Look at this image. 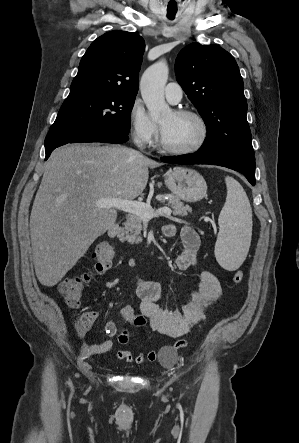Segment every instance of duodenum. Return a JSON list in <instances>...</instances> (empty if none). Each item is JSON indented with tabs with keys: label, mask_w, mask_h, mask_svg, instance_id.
I'll use <instances>...</instances> for the list:
<instances>
[{
	"label": "duodenum",
	"mask_w": 299,
	"mask_h": 443,
	"mask_svg": "<svg viewBox=\"0 0 299 443\" xmlns=\"http://www.w3.org/2000/svg\"><path fill=\"white\" fill-rule=\"evenodd\" d=\"M120 233V226L117 222H113L109 225L108 235L111 238H116Z\"/></svg>",
	"instance_id": "410a0bca"
}]
</instances>
